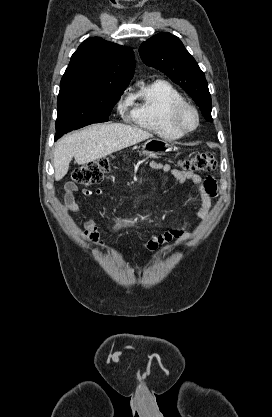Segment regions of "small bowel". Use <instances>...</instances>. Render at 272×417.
<instances>
[{
  "instance_id": "c3829d8e",
  "label": "small bowel",
  "mask_w": 272,
  "mask_h": 417,
  "mask_svg": "<svg viewBox=\"0 0 272 417\" xmlns=\"http://www.w3.org/2000/svg\"><path fill=\"white\" fill-rule=\"evenodd\" d=\"M147 166L153 170H159L172 176L178 183L182 184L186 181H191L199 191L201 205L198 210V217H206L211 207V199L217 194V185L213 177L209 176L205 179L194 172L183 171L172 167L170 164L161 163L154 160L147 162ZM78 187L73 182H67L64 186V199H63V211L65 214L70 212H78L79 206L76 202V192ZM82 194L84 196H91L93 191L89 188H83ZM102 189H96L95 194L97 196L103 195ZM84 238L99 248H104V243L100 239L96 223L91 217H87L84 221ZM191 239V235L186 231L185 224L181 223L179 226L172 228L164 233L153 236L146 243L148 250H155L159 245L175 240L176 245L181 247Z\"/></svg>"
}]
</instances>
